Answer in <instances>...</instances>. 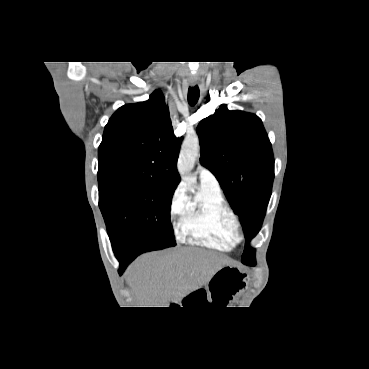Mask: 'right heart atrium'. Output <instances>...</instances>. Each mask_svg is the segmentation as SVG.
<instances>
[{
  "mask_svg": "<svg viewBox=\"0 0 369 369\" xmlns=\"http://www.w3.org/2000/svg\"><path fill=\"white\" fill-rule=\"evenodd\" d=\"M187 203L184 187L178 186L172 195L170 202V215L172 218L181 217Z\"/></svg>",
  "mask_w": 369,
  "mask_h": 369,
  "instance_id": "obj_1",
  "label": "right heart atrium"
}]
</instances>
